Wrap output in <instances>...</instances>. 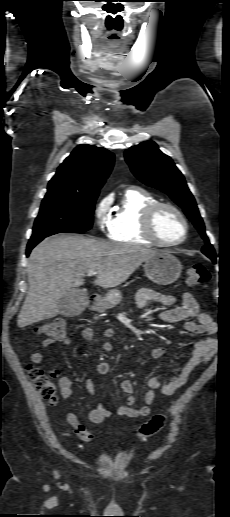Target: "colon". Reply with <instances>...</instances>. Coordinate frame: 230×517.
<instances>
[{"label":"colon","mask_w":230,"mask_h":517,"mask_svg":"<svg viewBox=\"0 0 230 517\" xmlns=\"http://www.w3.org/2000/svg\"><path fill=\"white\" fill-rule=\"evenodd\" d=\"M187 283L192 286L205 284L210 279L208 269L202 264H195L187 270ZM39 334L50 338L64 340L67 338V328L63 321L55 320L39 325L36 328ZM28 376L35 384L43 399L52 405L56 399V387L54 380L57 376L55 372H47L39 367H28ZM166 422L164 414L154 415L147 423H145L138 432L141 439H146L159 430H161Z\"/></svg>","instance_id":"obj_1"}]
</instances>
